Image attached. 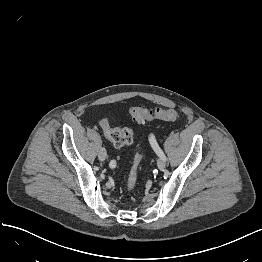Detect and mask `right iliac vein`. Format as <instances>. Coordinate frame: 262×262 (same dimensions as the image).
I'll return each mask as SVG.
<instances>
[{"label": "right iliac vein", "mask_w": 262, "mask_h": 262, "mask_svg": "<svg viewBox=\"0 0 262 262\" xmlns=\"http://www.w3.org/2000/svg\"><path fill=\"white\" fill-rule=\"evenodd\" d=\"M107 157V153H106V150L104 148H101L98 152V158L101 160V161H104Z\"/></svg>", "instance_id": "right-iliac-vein-1"}]
</instances>
